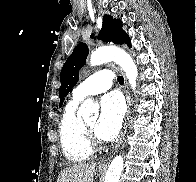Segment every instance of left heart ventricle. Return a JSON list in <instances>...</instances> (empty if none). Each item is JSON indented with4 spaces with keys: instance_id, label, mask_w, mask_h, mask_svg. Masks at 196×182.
<instances>
[{
    "instance_id": "1",
    "label": "left heart ventricle",
    "mask_w": 196,
    "mask_h": 182,
    "mask_svg": "<svg viewBox=\"0 0 196 182\" xmlns=\"http://www.w3.org/2000/svg\"><path fill=\"white\" fill-rule=\"evenodd\" d=\"M86 124H87V126H88L90 129L94 130V129H95V126H96V124H97V118H93V119H91V120L86 121Z\"/></svg>"
}]
</instances>
